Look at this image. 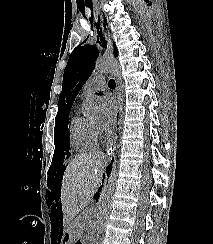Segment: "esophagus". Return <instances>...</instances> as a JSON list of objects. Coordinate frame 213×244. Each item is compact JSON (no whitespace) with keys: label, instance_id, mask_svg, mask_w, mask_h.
Wrapping results in <instances>:
<instances>
[{"label":"esophagus","instance_id":"esophagus-1","mask_svg":"<svg viewBox=\"0 0 213 244\" xmlns=\"http://www.w3.org/2000/svg\"><path fill=\"white\" fill-rule=\"evenodd\" d=\"M117 100V113H116V121H115V133L113 134L112 138L109 140L107 144V154L112 156L114 154V150L116 148V141L118 138L117 131L121 121V105H120V98L118 93L115 94Z\"/></svg>","mask_w":213,"mask_h":244}]
</instances>
